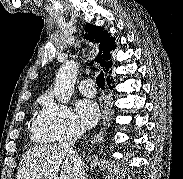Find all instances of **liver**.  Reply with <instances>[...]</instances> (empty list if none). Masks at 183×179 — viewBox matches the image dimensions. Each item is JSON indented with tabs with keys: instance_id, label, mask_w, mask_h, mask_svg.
Masks as SVG:
<instances>
[{
	"instance_id": "obj_1",
	"label": "liver",
	"mask_w": 183,
	"mask_h": 179,
	"mask_svg": "<svg viewBox=\"0 0 183 179\" xmlns=\"http://www.w3.org/2000/svg\"><path fill=\"white\" fill-rule=\"evenodd\" d=\"M73 174V156L59 145L45 144L22 155L16 179H73Z\"/></svg>"
}]
</instances>
